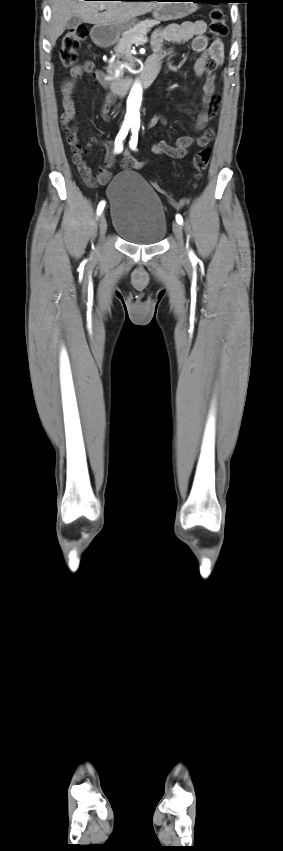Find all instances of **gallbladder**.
Instances as JSON below:
<instances>
[{
    "label": "gallbladder",
    "mask_w": 283,
    "mask_h": 851,
    "mask_svg": "<svg viewBox=\"0 0 283 851\" xmlns=\"http://www.w3.org/2000/svg\"><path fill=\"white\" fill-rule=\"evenodd\" d=\"M81 23H82V19H81V18H79V17H77V16H73V17H71V18L69 19V21L67 22L66 28H67V29H75V28H76V27H78Z\"/></svg>",
    "instance_id": "gallbladder-1"
}]
</instances>
